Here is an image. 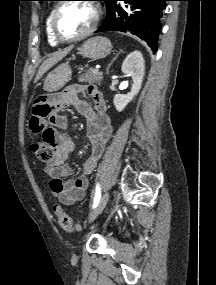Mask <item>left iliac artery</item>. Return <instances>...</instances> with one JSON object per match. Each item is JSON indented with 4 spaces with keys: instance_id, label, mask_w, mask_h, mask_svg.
<instances>
[{
    "instance_id": "44dca946",
    "label": "left iliac artery",
    "mask_w": 216,
    "mask_h": 285,
    "mask_svg": "<svg viewBox=\"0 0 216 285\" xmlns=\"http://www.w3.org/2000/svg\"><path fill=\"white\" fill-rule=\"evenodd\" d=\"M101 197V190L99 184L96 185V190H95V196H94V202H93V208L97 206V204L100 201Z\"/></svg>"
}]
</instances>
